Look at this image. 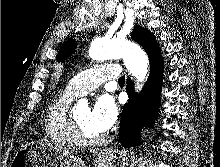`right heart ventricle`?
Returning <instances> with one entry per match:
<instances>
[{"instance_id": "right-heart-ventricle-1", "label": "right heart ventricle", "mask_w": 220, "mask_h": 167, "mask_svg": "<svg viewBox=\"0 0 220 167\" xmlns=\"http://www.w3.org/2000/svg\"><path fill=\"white\" fill-rule=\"evenodd\" d=\"M78 96L68 89L55 95L48 104L43 130L50 140L58 145L73 146L69 127L70 105Z\"/></svg>"}]
</instances>
